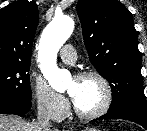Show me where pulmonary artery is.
Here are the masks:
<instances>
[{
	"mask_svg": "<svg viewBox=\"0 0 147 131\" xmlns=\"http://www.w3.org/2000/svg\"><path fill=\"white\" fill-rule=\"evenodd\" d=\"M60 57L63 60V62L67 64H73L76 61V52L73 46L71 45H65L62 47L60 51Z\"/></svg>",
	"mask_w": 147,
	"mask_h": 131,
	"instance_id": "obj_1",
	"label": "pulmonary artery"
}]
</instances>
